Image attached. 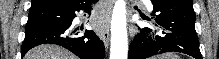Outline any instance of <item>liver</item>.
Wrapping results in <instances>:
<instances>
[{
	"mask_svg": "<svg viewBox=\"0 0 219 59\" xmlns=\"http://www.w3.org/2000/svg\"><path fill=\"white\" fill-rule=\"evenodd\" d=\"M24 59H77V57L60 46L44 44L31 49Z\"/></svg>",
	"mask_w": 219,
	"mask_h": 59,
	"instance_id": "1",
	"label": "liver"
}]
</instances>
